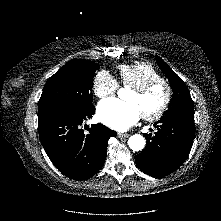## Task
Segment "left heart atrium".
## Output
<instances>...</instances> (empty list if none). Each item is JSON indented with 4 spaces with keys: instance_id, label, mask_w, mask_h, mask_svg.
Segmentation results:
<instances>
[{
    "instance_id": "39dd6f15",
    "label": "left heart atrium",
    "mask_w": 221,
    "mask_h": 221,
    "mask_svg": "<svg viewBox=\"0 0 221 221\" xmlns=\"http://www.w3.org/2000/svg\"><path fill=\"white\" fill-rule=\"evenodd\" d=\"M139 108L132 102L106 99L97 106V116L106 126L125 131L138 122L141 117Z\"/></svg>"
}]
</instances>
